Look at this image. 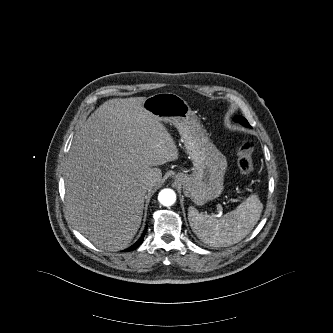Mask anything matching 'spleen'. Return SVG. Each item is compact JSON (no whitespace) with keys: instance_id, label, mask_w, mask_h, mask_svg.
<instances>
[{"instance_id":"3e777b00","label":"spleen","mask_w":333,"mask_h":333,"mask_svg":"<svg viewBox=\"0 0 333 333\" xmlns=\"http://www.w3.org/2000/svg\"><path fill=\"white\" fill-rule=\"evenodd\" d=\"M263 205L256 194L250 195L234 211L217 219L199 213L192 206L188 209V220L192 231L205 244L226 247L245 238L257 224Z\"/></svg>"}]
</instances>
